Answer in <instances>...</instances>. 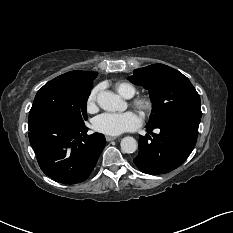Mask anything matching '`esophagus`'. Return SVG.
Wrapping results in <instances>:
<instances>
[{
	"label": "esophagus",
	"mask_w": 233,
	"mask_h": 233,
	"mask_svg": "<svg viewBox=\"0 0 233 233\" xmlns=\"http://www.w3.org/2000/svg\"><path fill=\"white\" fill-rule=\"evenodd\" d=\"M105 138H106V140H107L108 142L114 141V140L117 139V137H113V136H106Z\"/></svg>",
	"instance_id": "34e87169"
}]
</instances>
